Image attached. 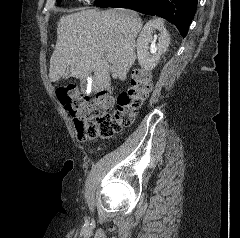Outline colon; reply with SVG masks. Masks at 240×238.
<instances>
[{"label": "colon", "mask_w": 240, "mask_h": 238, "mask_svg": "<svg viewBox=\"0 0 240 238\" xmlns=\"http://www.w3.org/2000/svg\"><path fill=\"white\" fill-rule=\"evenodd\" d=\"M150 89V73L143 69L134 70L130 85L118 96L113 113L107 112L113 105V98L107 91L89 100L75 85H66L56 89V96L73 117L79 139L92 140L112 137L123 127L129 126Z\"/></svg>", "instance_id": "5ec220e1"}]
</instances>
